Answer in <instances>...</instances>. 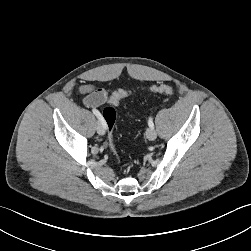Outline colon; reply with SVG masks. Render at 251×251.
Masks as SVG:
<instances>
[{"label": "colon", "mask_w": 251, "mask_h": 251, "mask_svg": "<svg viewBox=\"0 0 251 251\" xmlns=\"http://www.w3.org/2000/svg\"><path fill=\"white\" fill-rule=\"evenodd\" d=\"M150 91L153 93L166 94V95H171L174 92L173 88L169 85L153 86L150 88ZM129 95H131V92L123 89L113 92L110 98V105L105 107L102 113L104 120L108 126V137H107L108 146L112 151L116 161H119V157L113 134V128L116 121L115 106L118 105L121 99L128 97Z\"/></svg>", "instance_id": "1"}]
</instances>
